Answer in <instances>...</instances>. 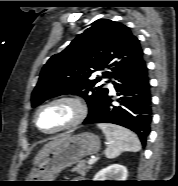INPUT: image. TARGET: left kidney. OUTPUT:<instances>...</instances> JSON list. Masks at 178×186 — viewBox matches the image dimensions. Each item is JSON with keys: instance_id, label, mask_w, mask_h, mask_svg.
I'll list each match as a JSON object with an SVG mask.
<instances>
[{"instance_id": "5707ae66", "label": "left kidney", "mask_w": 178, "mask_h": 186, "mask_svg": "<svg viewBox=\"0 0 178 186\" xmlns=\"http://www.w3.org/2000/svg\"><path fill=\"white\" fill-rule=\"evenodd\" d=\"M127 169L123 165L113 164L101 169L93 181H126Z\"/></svg>"}]
</instances>
